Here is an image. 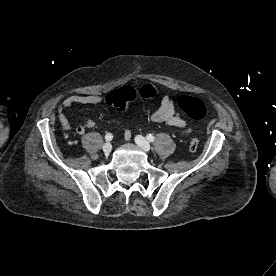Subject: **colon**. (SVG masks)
Returning <instances> with one entry per match:
<instances>
[{"instance_id": "obj_1", "label": "colon", "mask_w": 276, "mask_h": 276, "mask_svg": "<svg viewBox=\"0 0 276 276\" xmlns=\"http://www.w3.org/2000/svg\"><path fill=\"white\" fill-rule=\"evenodd\" d=\"M156 94V88L152 84H145L139 90L140 97L148 99ZM137 92L132 87L126 86L108 95L107 102L113 108H127L136 98ZM179 108L192 120L199 121L205 117L206 109L198 98L182 95L177 99ZM198 141L193 139L188 144V151L196 152Z\"/></svg>"}]
</instances>
